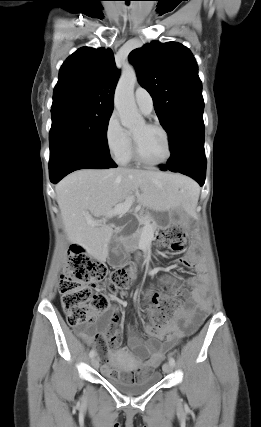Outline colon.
I'll return each mask as SVG.
<instances>
[{"instance_id": "1", "label": "colon", "mask_w": 261, "mask_h": 427, "mask_svg": "<svg viewBox=\"0 0 261 427\" xmlns=\"http://www.w3.org/2000/svg\"><path fill=\"white\" fill-rule=\"evenodd\" d=\"M161 244L180 252L187 241V233L172 227L158 236ZM131 278L129 268L108 272L104 263L88 256L85 250L74 245L68 254V263L60 279L61 304L70 326L89 325L108 310L109 298L127 287ZM182 300L176 291L153 296L150 333L158 335L170 325L180 312Z\"/></svg>"}]
</instances>
